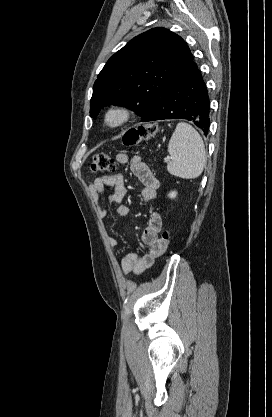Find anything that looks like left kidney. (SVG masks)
I'll use <instances>...</instances> for the list:
<instances>
[{
	"mask_svg": "<svg viewBox=\"0 0 272 417\" xmlns=\"http://www.w3.org/2000/svg\"><path fill=\"white\" fill-rule=\"evenodd\" d=\"M176 195H177V192H176V191H172V192H170V193L168 194V196H169L171 199L175 198V197H176Z\"/></svg>",
	"mask_w": 272,
	"mask_h": 417,
	"instance_id": "obj_1",
	"label": "left kidney"
}]
</instances>
